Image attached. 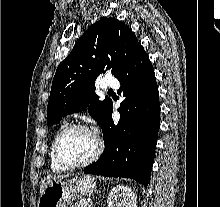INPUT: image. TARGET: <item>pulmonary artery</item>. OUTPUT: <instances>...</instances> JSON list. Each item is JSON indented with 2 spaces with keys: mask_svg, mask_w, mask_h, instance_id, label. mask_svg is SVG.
Listing matches in <instances>:
<instances>
[{
  "mask_svg": "<svg viewBox=\"0 0 220 207\" xmlns=\"http://www.w3.org/2000/svg\"><path fill=\"white\" fill-rule=\"evenodd\" d=\"M119 87V82L113 77H105L101 84V88L106 89H117Z\"/></svg>",
  "mask_w": 220,
  "mask_h": 207,
  "instance_id": "obj_1",
  "label": "pulmonary artery"
}]
</instances>
